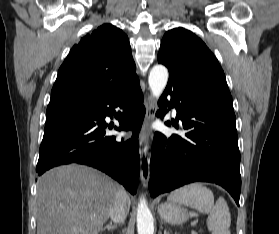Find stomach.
<instances>
[{
  "instance_id": "1",
  "label": "stomach",
  "mask_w": 279,
  "mask_h": 234,
  "mask_svg": "<svg viewBox=\"0 0 279 234\" xmlns=\"http://www.w3.org/2000/svg\"><path fill=\"white\" fill-rule=\"evenodd\" d=\"M158 213L161 219L171 224H181L189 217L187 210L175 202L159 205Z\"/></svg>"
}]
</instances>
